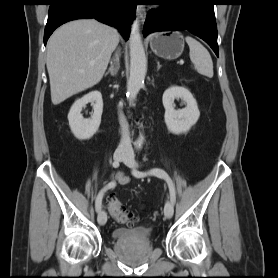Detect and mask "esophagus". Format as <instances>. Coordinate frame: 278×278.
<instances>
[{
	"instance_id": "34e87169",
	"label": "esophagus",
	"mask_w": 278,
	"mask_h": 278,
	"mask_svg": "<svg viewBox=\"0 0 278 278\" xmlns=\"http://www.w3.org/2000/svg\"><path fill=\"white\" fill-rule=\"evenodd\" d=\"M137 13L141 22H144L146 16V9L142 5L137 6Z\"/></svg>"
}]
</instances>
